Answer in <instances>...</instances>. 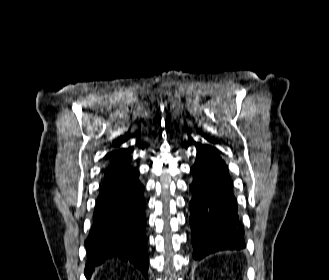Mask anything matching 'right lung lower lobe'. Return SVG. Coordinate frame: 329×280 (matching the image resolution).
I'll return each instance as SVG.
<instances>
[{"instance_id":"right-lung-lower-lobe-1","label":"right lung lower lobe","mask_w":329,"mask_h":280,"mask_svg":"<svg viewBox=\"0 0 329 280\" xmlns=\"http://www.w3.org/2000/svg\"><path fill=\"white\" fill-rule=\"evenodd\" d=\"M130 162L110 164L96 201L94 223L85 241L89 280L95 268L109 259L129 261L147 280L148 255L144 216V186Z\"/></svg>"}]
</instances>
